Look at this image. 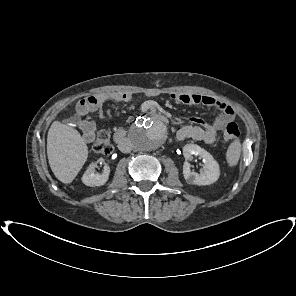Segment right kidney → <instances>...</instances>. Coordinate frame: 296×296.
<instances>
[{"mask_svg": "<svg viewBox=\"0 0 296 296\" xmlns=\"http://www.w3.org/2000/svg\"><path fill=\"white\" fill-rule=\"evenodd\" d=\"M95 164H90L82 176V182L90 187L93 186H102L104 185L108 179L110 174V168L108 166L104 167V171L102 174L95 173Z\"/></svg>", "mask_w": 296, "mask_h": 296, "instance_id": "1", "label": "right kidney"}]
</instances>
